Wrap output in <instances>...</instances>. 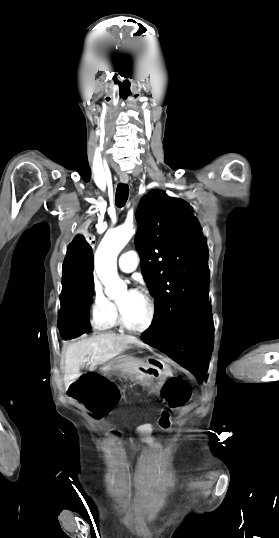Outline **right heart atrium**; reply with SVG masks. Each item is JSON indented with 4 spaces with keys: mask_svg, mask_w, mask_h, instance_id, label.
Here are the masks:
<instances>
[{
    "mask_svg": "<svg viewBox=\"0 0 279 538\" xmlns=\"http://www.w3.org/2000/svg\"><path fill=\"white\" fill-rule=\"evenodd\" d=\"M93 295L92 325L96 329H104L108 327L115 307L113 301L105 295L96 275L93 277Z\"/></svg>",
    "mask_w": 279,
    "mask_h": 538,
    "instance_id": "right-heart-atrium-1",
    "label": "right heart atrium"
}]
</instances>
